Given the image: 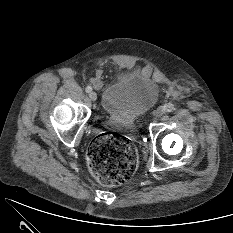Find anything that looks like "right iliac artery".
<instances>
[{"label":"right iliac artery","instance_id":"82829eb1","mask_svg":"<svg viewBox=\"0 0 233 233\" xmlns=\"http://www.w3.org/2000/svg\"><path fill=\"white\" fill-rule=\"evenodd\" d=\"M85 90H86L87 93H90L92 91V87L91 86H87Z\"/></svg>","mask_w":233,"mask_h":233}]
</instances>
